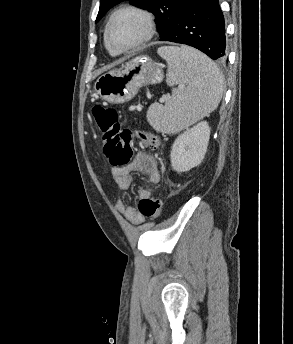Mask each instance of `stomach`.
Here are the masks:
<instances>
[{
  "instance_id": "0dacf381",
  "label": "stomach",
  "mask_w": 293,
  "mask_h": 344,
  "mask_svg": "<svg viewBox=\"0 0 293 344\" xmlns=\"http://www.w3.org/2000/svg\"><path fill=\"white\" fill-rule=\"evenodd\" d=\"M162 79L160 65L148 57L140 56L101 75L94 87L101 98L111 103H124L134 98L143 85L155 84Z\"/></svg>"
}]
</instances>
